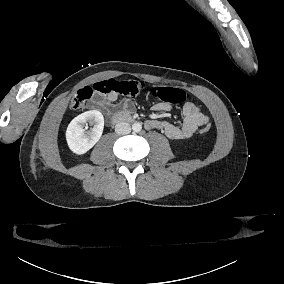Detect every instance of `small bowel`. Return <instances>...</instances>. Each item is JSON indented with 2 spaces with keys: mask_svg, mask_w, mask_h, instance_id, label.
<instances>
[{
  "mask_svg": "<svg viewBox=\"0 0 284 284\" xmlns=\"http://www.w3.org/2000/svg\"><path fill=\"white\" fill-rule=\"evenodd\" d=\"M118 94L110 93L106 97H100L93 101L96 108L103 110L120 109L123 112L130 114L135 110L134 103L129 98H123L118 103ZM171 106L167 103L160 102L153 106L154 111L165 112L169 111ZM183 122L177 126L168 121L149 120L146 122L147 129L162 130L164 134L171 140H187L202 126L209 124L210 119L205 115L197 105L192 102H187L182 108Z\"/></svg>",
  "mask_w": 284,
  "mask_h": 284,
  "instance_id": "1",
  "label": "small bowel"
}]
</instances>
